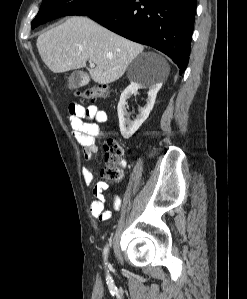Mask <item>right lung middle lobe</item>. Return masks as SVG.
I'll return each instance as SVG.
<instances>
[{
	"label": "right lung middle lobe",
	"mask_w": 247,
	"mask_h": 299,
	"mask_svg": "<svg viewBox=\"0 0 247 299\" xmlns=\"http://www.w3.org/2000/svg\"><path fill=\"white\" fill-rule=\"evenodd\" d=\"M124 0H43L41 8L32 21V28L52 19L67 15L88 16L111 7Z\"/></svg>",
	"instance_id": "right-lung-middle-lobe-1"
}]
</instances>
